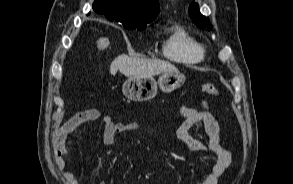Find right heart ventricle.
Listing matches in <instances>:
<instances>
[{"label": "right heart ventricle", "mask_w": 293, "mask_h": 184, "mask_svg": "<svg viewBox=\"0 0 293 184\" xmlns=\"http://www.w3.org/2000/svg\"><path fill=\"white\" fill-rule=\"evenodd\" d=\"M163 55L175 62L196 64L205 57L204 46L182 26L170 28L162 45Z\"/></svg>", "instance_id": "obj_1"}]
</instances>
